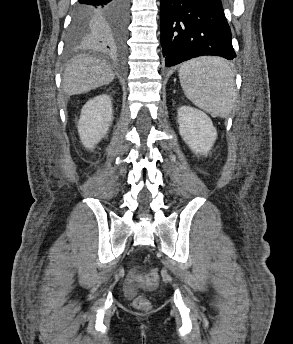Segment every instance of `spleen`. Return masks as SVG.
I'll return each mask as SVG.
<instances>
[{
  "label": "spleen",
  "instance_id": "spleen-1",
  "mask_svg": "<svg viewBox=\"0 0 293 344\" xmlns=\"http://www.w3.org/2000/svg\"><path fill=\"white\" fill-rule=\"evenodd\" d=\"M179 79L186 97L213 115L225 117L231 111L236 88L234 74L227 62L218 57H199L185 62Z\"/></svg>",
  "mask_w": 293,
  "mask_h": 344
}]
</instances>
